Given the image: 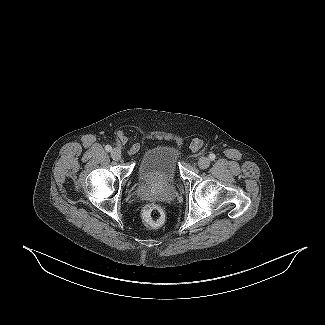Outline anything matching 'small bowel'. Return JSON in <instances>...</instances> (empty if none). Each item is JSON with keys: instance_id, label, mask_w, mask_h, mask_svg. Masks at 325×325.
<instances>
[{"instance_id": "1", "label": "small bowel", "mask_w": 325, "mask_h": 325, "mask_svg": "<svg viewBox=\"0 0 325 325\" xmlns=\"http://www.w3.org/2000/svg\"><path fill=\"white\" fill-rule=\"evenodd\" d=\"M121 141L124 142V138H122Z\"/></svg>"}]
</instances>
